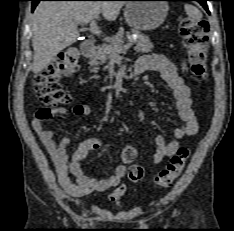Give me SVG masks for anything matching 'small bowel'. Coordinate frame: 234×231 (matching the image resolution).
Here are the masks:
<instances>
[{
	"mask_svg": "<svg viewBox=\"0 0 234 231\" xmlns=\"http://www.w3.org/2000/svg\"><path fill=\"white\" fill-rule=\"evenodd\" d=\"M137 66L142 67L143 71L154 70L161 74L172 89L178 116L183 123L174 130V138L170 141H166L163 135L156 136L153 162L160 163L164 158L172 156L178 151L182 138L195 135L199 130V124L192 109L191 90L178 73L176 65L163 54L142 56L138 60ZM69 114L77 117L89 116L91 108L86 104H76L70 111L40 107L34 111L32 118L33 130L41 139L54 163L58 182L63 192L68 196L79 198L94 191L102 192L114 188L109 195V200L118 201L126 192V185L123 183L127 172L125 165H117L113 175L109 178L90 177L81 165L89 153L102 147V139L99 137L87 138L79 144L72 154H69V138L62 137L56 141L54 133L45 128V122L51 118L63 119Z\"/></svg>",
	"mask_w": 234,
	"mask_h": 231,
	"instance_id": "c3829d8e",
	"label": "small bowel"
}]
</instances>
